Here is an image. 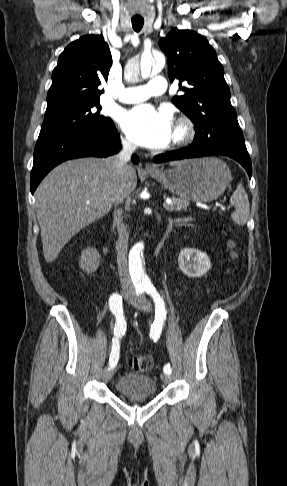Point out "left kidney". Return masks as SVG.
Wrapping results in <instances>:
<instances>
[{"mask_svg":"<svg viewBox=\"0 0 287 486\" xmlns=\"http://www.w3.org/2000/svg\"><path fill=\"white\" fill-rule=\"evenodd\" d=\"M178 265L188 277L200 278L210 270L211 261L206 253L198 249L184 248L180 251Z\"/></svg>","mask_w":287,"mask_h":486,"instance_id":"left-kidney-1","label":"left kidney"}]
</instances>
